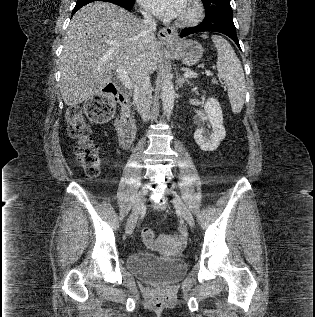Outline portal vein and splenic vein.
<instances>
[{"mask_svg": "<svg viewBox=\"0 0 315 317\" xmlns=\"http://www.w3.org/2000/svg\"><path fill=\"white\" fill-rule=\"evenodd\" d=\"M117 73H118V77L120 78L121 82L126 87H132V81L129 78V76L127 75V72H126V69L124 66H119L117 69ZM205 74L207 76L212 75V73L209 70L205 71ZM197 76H198V74L193 72V71H187L186 73H184V77H186V78H196Z\"/></svg>", "mask_w": 315, "mask_h": 317, "instance_id": "portal-vein-and-splenic-vein-1", "label": "portal vein and splenic vein"}]
</instances>
